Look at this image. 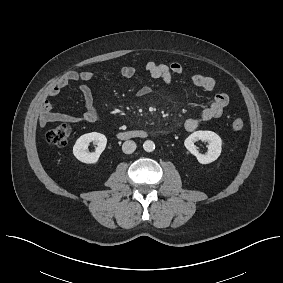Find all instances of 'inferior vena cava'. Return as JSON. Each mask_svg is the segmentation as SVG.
Segmentation results:
<instances>
[{"label": "inferior vena cava", "mask_w": 283, "mask_h": 283, "mask_svg": "<svg viewBox=\"0 0 283 283\" xmlns=\"http://www.w3.org/2000/svg\"><path fill=\"white\" fill-rule=\"evenodd\" d=\"M136 150V143L134 141H125L122 145V151L125 154H131Z\"/></svg>", "instance_id": "602c4592"}]
</instances>
